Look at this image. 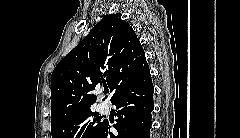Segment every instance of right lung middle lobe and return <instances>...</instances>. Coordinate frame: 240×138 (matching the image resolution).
Returning <instances> with one entry per match:
<instances>
[{
	"label": "right lung middle lobe",
	"mask_w": 240,
	"mask_h": 138,
	"mask_svg": "<svg viewBox=\"0 0 240 138\" xmlns=\"http://www.w3.org/2000/svg\"><path fill=\"white\" fill-rule=\"evenodd\" d=\"M86 109L80 114L51 125L52 138H94L104 122Z\"/></svg>",
	"instance_id": "obj_1"
}]
</instances>
